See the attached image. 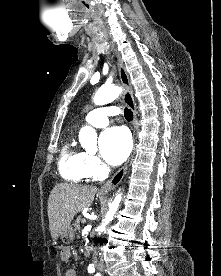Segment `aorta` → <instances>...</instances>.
I'll use <instances>...</instances> for the list:
<instances>
[{
  "label": "aorta",
  "mask_w": 221,
  "mask_h": 276,
  "mask_svg": "<svg viewBox=\"0 0 221 276\" xmlns=\"http://www.w3.org/2000/svg\"><path fill=\"white\" fill-rule=\"evenodd\" d=\"M122 89L118 86H102L95 94L93 101L96 105H105L114 101L121 93ZM79 141L84 148L95 147L97 143V133L90 126H84L79 132ZM122 200V194L117 193L114 201L109 204V210L97 228L98 232H103L105 227L113 220Z\"/></svg>",
  "instance_id": "obj_1"
}]
</instances>
